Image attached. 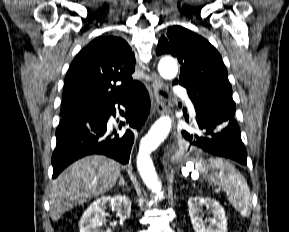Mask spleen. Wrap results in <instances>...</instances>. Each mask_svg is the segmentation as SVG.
<instances>
[{
  "label": "spleen",
  "instance_id": "obj_1",
  "mask_svg": "<svg viewBox=\"0 0 289 232\" xmlns=\"http://www.w3.org/2000/svg\"><path fill=\"white\" fill-rule=\"evenodd\" d=\"M209 167L218 170L213 176L208 175L205 163H199L197 170L204 174L209 182L221 186L226 191L231 205L243 217L251 214L252 200L250 189L245 177L228 161L221 158H211L208 160Z\"/></svg>",
  "mask_w": 289,
  "mask_h": 232
}]
</instances>
